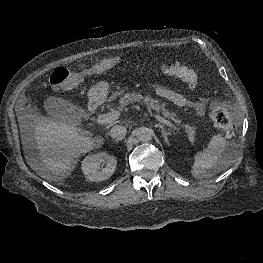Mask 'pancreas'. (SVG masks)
Segmentation results:
<instances>
[{"label": "pancreas", "mask_w": 263, "mask_h": 263, "mask_svg": "<svg viewBox=\"0 0 263 263\" xmlns=\"http://www.w3.org/2000/svg\"><path fill=\"white\" fill-rule=\"evenodd\" d=\"M115 96H119L120 100V106L119 108H122L130 103L133 102H139L147 105L149 108L155 110L158 113H161L164 117L172 119L175 123L180 124L181 120L175 119V114L170 113L169 111L165 110L164 104L159 103L158 100H154L153 98L149 96H142L137 93H124V91H120L115 93ZM185 128L187 129L189 139L193 142L194 141V128L188 125H185Z\"/></svg>", "instance_id": "obj_1"}]
</instances>
